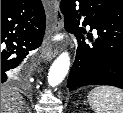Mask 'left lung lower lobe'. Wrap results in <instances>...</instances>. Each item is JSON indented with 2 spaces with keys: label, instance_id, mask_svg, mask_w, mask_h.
Here are the masks:
<instances>
[{
  "label": "left lung lower lobe",
  "instance_id": "obj_1",
  "mask_svg": "<svg viewBox=\"0 0 123 113\" xmlns=\"http://www.w3.org/2000/svg\"><path fill=\"white\" fill-rule=\"evenodd\" d=\"M60 8L65 29L78 39L67 82L69 91L87 85L123 89V6L113 0H62ZM81 18H84L83 26L97 30L98 38L92 44L85 42L86 32L79 27ZM88 37L92 40L90 35Z\"/></svg>",
  "mask_w": 123,
  "mask_h": 113
}]
</instances>
